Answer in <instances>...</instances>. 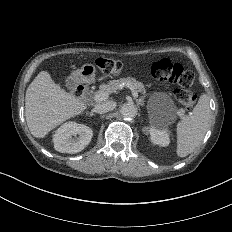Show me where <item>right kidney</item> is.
Instances as JSON below:
<instances>
[{
	"mask_svg": "<svg viewBox=\"0 0 232 232\" xmlns=\"http://www.w3.org/2000/svg\"><path fill=\"white\" fill-rule=\"evenodd\" d=\"M92 130L83 124L66 122L53 135L54 148L61 153L82 151L91 141Z\"/></svg>",
	"mask_w": 232,
	"mask_h": 232,
	"instance_id": "1",
	"label": "right kidney"
}]
</instances>
